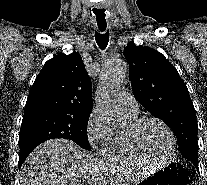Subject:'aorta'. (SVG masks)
Instances as JSON below:
<instances>
[{
  "mask_svg": "<svg viewBox=\"0 0 207 185\" xmlns=\"http://www.w3.org/2000/svg\"><path fill=\"white\" fill-rule=\"evenodd\" d=\"M127 69V63L120 59H113L105 63L101 69L96 89L97 109L115 129L125 127L128 122V116L117 101L118 91Z\"/></svg>",
  "mask_w": 207,
  "mask_h": 185,
  "instance_id": "aorta-1",
  "label": "aorta"
}]
</instances>
